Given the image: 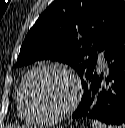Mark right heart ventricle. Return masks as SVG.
<instances>
[{"instance_id":"obj_1","label":"right heart ventricle","mask_w":125,"mask_h":128,"mask_svg":"<svg viewBox=\"0 0 125 128\" xmlns=\"http://www.w3.org/2000/svg\"><path fill=\"white\" fill-rule=\"evenodd\" d=\"M17 111L18 114L20 116V118L26 122V123H33L35 122L31 117H29L27 115V113L25 112L22 102H21V84L19 85L18 89H17Z\"/></svg>"}]
</instances>
